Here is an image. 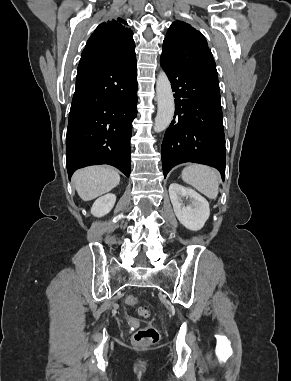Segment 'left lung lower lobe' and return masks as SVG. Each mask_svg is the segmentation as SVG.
<instances>
[{"label": "left lung lower lobe", "mask_w": 291, "mask_h": 381, "mask_svg": "<svg viewBox=\"0 0 291 381\" xmlns=\"http://www.w3.org/2000/svg\"><path fill=\"white\" fill-rule=\"evenodd\" d=\"M175 92V114L161 146L164 177L184 162L217 168L225 177V137L219 81L197 77L161 55Z\"/></svg>", "instance_id": "obj_1"}]
</instances>
